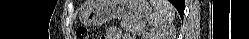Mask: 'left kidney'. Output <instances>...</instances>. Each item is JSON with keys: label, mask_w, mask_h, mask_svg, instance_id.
Instances as JSON below:
<instances>
[{"label": "left kidney", "mask_w": 249, "mask_h": 39, "mask_svg": "<svg viewBox=\"0 0 249 39\" xmlns=\"http://www.w3.org/2000/svg\"><path fill=\"white\" fill-rule=\"evenodd\" d=\"M143 39H171V37H169L168 34H165L164 32L151 30L143 37Z\"/></svg>", "instance_id": "obj_1"}]
</instances>
